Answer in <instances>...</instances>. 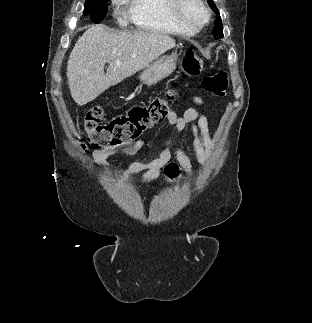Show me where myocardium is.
<instances>
[{"label":"myocardium","mask_w":312,"mask_h":323,"mask_svg":"<svg viewBox=\"0 0 312 323\" xmlns=\"http://www.w3.org/2000/svg\"><path fill=\"white\" fill-rule=\"evenodd\" d=\"M170 6L169 15L175 21H180L183 31H204V25H207L213 16V11L208 10L205 1L202 0H172Z\"/></svg>","instance_id":"myocardium-1"}]
</instances>
